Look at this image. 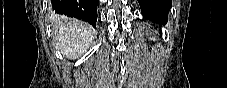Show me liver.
<instances>
[{
	"label": "liver",
	"mask_w": 227,
	"mask_h": 88,
	"mask_svg": "<svg viewBox=\"0 0 227 88\" xmlns=\"http://www.w3.org/2000/svg\"><path fill=\"white\" fill-rule=\"evenodd\" d=\"M54 29L61 54L70 59L80 57L94 40L92 27L76 20L67 21L58 18Z\"/></svg>",
	"instance_id": "obj_1"
}]
</instances>
